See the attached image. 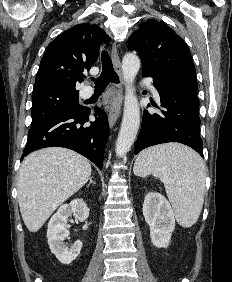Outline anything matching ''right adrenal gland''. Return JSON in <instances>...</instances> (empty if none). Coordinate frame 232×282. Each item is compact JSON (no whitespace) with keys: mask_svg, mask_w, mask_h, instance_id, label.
Wrapping results in <instances>:
<instances>
[{"mask_svg":"<svg viewBox=\"0 0 232 282\" xmlns=\"http://www.w3.org/2000/svg\"><path fill=\"white\" fill-rule=\"evenodd\" d=\"M92 178H93V177H90V178H89V183H88L87 187H89L91 184H95V182H93Z\"/></svg>","mask_w":232,"mask_h":282,"instance_id":"obj_1","label":"right adrenal gland"}]
</instances>
